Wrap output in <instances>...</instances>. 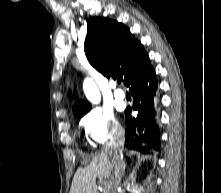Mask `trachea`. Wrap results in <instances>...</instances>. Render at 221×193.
Returning a JSON list of instances; mask_svg holds the SVG:
<instances>
[{
	"mask_svg": "<svg viewBox=\"0 0 221 193\" xmlns=\"http://www.w3.org/2000/svg\"><path fill=\"white\" fill-rule=\"evenodd\" d=\"M117 82H118V84H120V83H121V80H120V79H118V80H117Z\"/></svg>",
	"mask_w": 221,
	"mask_h": 193,
	"instance_id": "1",
	"label": "trachea"
}]
</instances>
